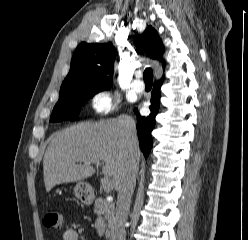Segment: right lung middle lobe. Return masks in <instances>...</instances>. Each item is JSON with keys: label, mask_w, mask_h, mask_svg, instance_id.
Here are the masks:
<instances>
[{"label": "right lung middle lobe", "mask_w": 248, "mask_h": 240, "mask_svg": "<svg viewBox=\"0 0 248 240\" xmlns=\"http://www.w3.org/2000/svg\"><path fill=\"white\" fill-rule=\"evenodd\" d=\"M102 90L104 89L69 88L60 92L59 100L52 111L50 122L76 120L81 106Z\"/></svg>", "instance_id": "1"}]
</instances>
